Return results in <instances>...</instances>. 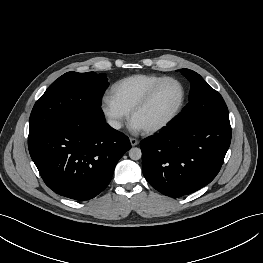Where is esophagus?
I'll return each mask as SVG.
<instances>
[{
    "label": "esophagus",
    "mask_w": 263,
    "mask_h": 263,
    "mask_svg": "<svg viewBox=\"0 0 263 263\" xmlns=\"http://www.w3.org/2000/svg\"><path fill=\"white\" fill-rule=\"evenodd\" d=\"M130 143L132 146H136V145H138L139 142L136 138H130Z\"/></svg>",
    "instance_id": "obj_1"
}]
</instances>
